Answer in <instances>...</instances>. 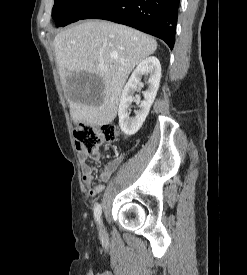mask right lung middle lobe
<instances>
[{
    "mask_svg": "<svg viewBox=\"0 0 247 275\" xmlns=\"http://www.w3.org/2000/svg\"><path fill=\"white\" fill-rule=\"evenodd\" d=\"M100 0H54L52 17L57 27H64L81 19L86 11Z\"/></svg>",
    "mask_w": 247,
    "mask_h": 275,
    "instance_id": "1",
    "label": "right lung middle lobe"
}]
</instances>
